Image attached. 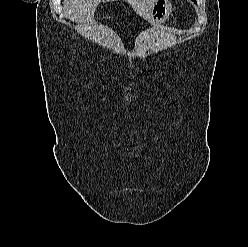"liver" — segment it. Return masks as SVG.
<instances>
[{
	"instance_id": "1",
	"label": "liver",
	"mask_w": 248,
	"mask_h": 247,
	"mask_svg": "<svg viewBox=\"0 0 248 247\" xmlns=\"http://www.w3.org/2000/svg\"><path fill=\"white\" fill-rule=\"evenodd\" d=\"M112 2L114 0H64V9L71 21L79 23L92 22L96 8L100 2ZM134 11L144 19L148 17L149 11L156 0H125Z\"/></svg>"
}]
</instances>
